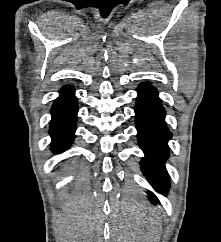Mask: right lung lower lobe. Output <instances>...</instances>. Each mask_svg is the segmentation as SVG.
Masks as SVG:
<instances>
[{"label":"right lung lower lobe","mask_w":221,"mask_h":242,"mask_svg":"<svg viewBox=\"0 0 221 242\" xmlns=\"http://www.w3.org/2000/svg\"><path fill=\"white\" fill-rule=\"evenodd\" d=\"M52 107V120L50 122L51 148L56 153L63 152L75 138L77 120V98L74 89L64 86Z\"/></svg>","instance_id":"1"}]
</instances>
